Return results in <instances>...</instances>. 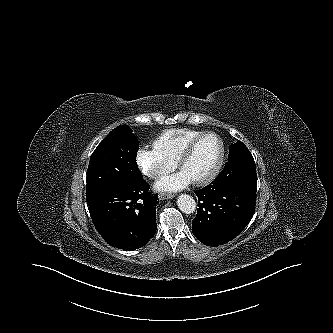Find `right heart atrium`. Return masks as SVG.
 Returning a JSON list of instances; mask_svg holds the SVG:
<instances>
[{
	"label": "right heart atrium",
	"instance_id": "right-heart-atrium-1",
	"mask_svg": "<svg viewBox=\"0 0 333 333\" xmlns=\"http://www.w3.org/2000/svg\"><path fill=\"white\" fill-rule=\"evenodd\" d=\"M136 163L145 176L154 180L160 179L176 166V162L148 147H141L137 151Z\"/></svg>",
	"mask_w": 333,
	"mask_h": 333
}]
</instances>
